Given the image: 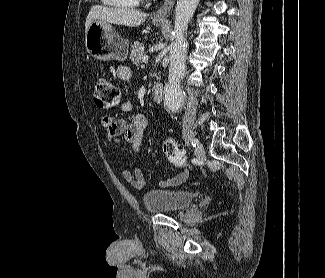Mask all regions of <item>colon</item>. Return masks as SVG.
<instances>
[{
  "instance_id": "obj_1",
  "label": "colon",
  "mask_w": 325,
  "mask_h": 278,
  "mask_svg": "<svg viewBox=\"0 0 325 278\" xmlns=\"http://www.w3.org/2000/svg\"><path fill=\"white\" fill-rule=\"evenodd\" d=\"M93 99L95 104L102 109H111L120 103L121 94L117 86L109 79L100 77L96 80ZM163 151L168 161L178 168L189 169L182 150L172 138H166L163 143Z\"/></svg>"
}]
</instances>
